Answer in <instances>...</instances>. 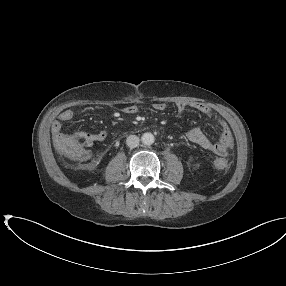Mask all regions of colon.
<instances>
[{
  "label": "colon",
  "instance_id": "obj_1",
  "mask_svg": "<svg viewBox=\"0 0 286 286\" xmlns=\"http://www.w3.org/2000/svg\"><path fill=\"white\" fill-rule=\"evenodd\" d=\"M54 142L60 154L78 162H88L91 159L90 153L85 149V138L79 134L58 133ZM230 166L227 159H217L215 167L226 169Z\"/></svg>",
  "mask_w": 286,
  "mask_h": 286
}]
</instances>
